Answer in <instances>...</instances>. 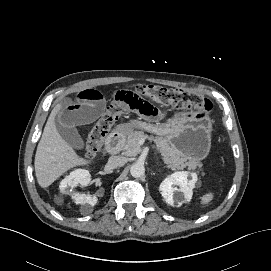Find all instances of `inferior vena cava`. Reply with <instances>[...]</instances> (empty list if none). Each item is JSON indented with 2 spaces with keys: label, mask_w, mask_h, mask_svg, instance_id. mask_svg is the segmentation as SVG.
Here are the masks:
<instances>
[{
  "label": "inferior vena cava",
  "mask_w": 271,
  "mask_h": 271,
  "mask_svg": "<svg viewBox=\"0 0 271 271\" xmlns=\"http://www.w3.org/2000/svg\"><path fill=\"white\" fill-rule=\"evenodd\" d=\"M127 162V158L123 156H111L108 160V166L110 168H117L123 166Z\"/></svg>",
  "instance_id": "obj_1"
}]
</instances>
